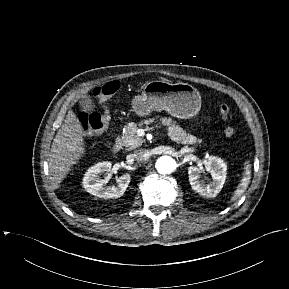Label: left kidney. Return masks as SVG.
I'll use <instances>...</instances> for the list:
<instances>
[{"instance_id":"left-kidney-1","label":"left kidney","mask_w":289,"mask_h":289,"mask_svg":"<svg viewBox=\"0 0 289 289\" xmlns=\"http://www.w3.org/2000/svg\"><path fill=\"white\" fill-rule=\"evenodd\" d=\"M205 170L212 176V181L207 183L200 179L204 170L196 166H190L188 168L190 185L194 191L204 197H216L225 183L227 165L221 158L210 156L205 161Z\"/></svg>"}]
</instances>
